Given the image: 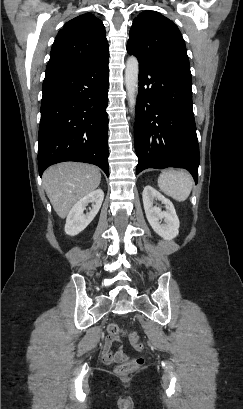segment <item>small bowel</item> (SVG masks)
<instances>
[{"instance_id":"c3829d8e","label":"small bowel","mask_w":243,"mask_h":409,"mask_svg":"<svg viewBox=\"0 0 243 409\" xmlns=\"http://www.w3.org/2000/svg\"><path fill=\"white\" fill-rule=\"evenodd\" d=\"M119 343H121V339L117 336V334H112L109 332L101 348V358L104 364L111 365L114 363L123 362L127 359V356L122 348H117L114 350V346Z\"/></svg>"}]
</instances>
